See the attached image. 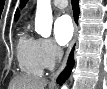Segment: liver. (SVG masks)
Here are the masks:
<instances>
[{"label":"liver","mask_w":107,"mask_h":89,"mask_svg":"<svg viewBox=\"0 0 107 89\" xmlns=\"http://www.w3.org/2000/svg\"><path fill=\"white\" fill-rule=\"evenodd\" d=\"M47 80L31 75H18L12 79L9 89H46Z\"/></svg>","instance_id":"6515ba94"}]
</instances>
